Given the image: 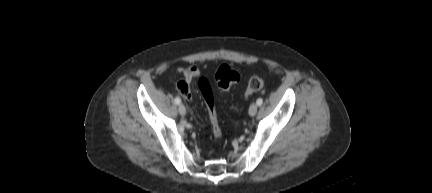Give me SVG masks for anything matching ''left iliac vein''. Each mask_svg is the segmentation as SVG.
Masks as SVG:
<instances>
[{"label":"left iliac vein","instance_id":"left-iliac-vein-1","mask_svg":"<svg viewBox=\"0 0 432 193\" xmlns=\"http://www.w3.org/2000/svg\"><path fill=\"white\" fill-rule=\"evenodd\" d=\"M257 110H258L257 104L256 103H252L250 105V107H249V110H248L249 115L254 116L257 113Z\"/></svg>","mask_w":432,"mask_h":193}]
</instances>
